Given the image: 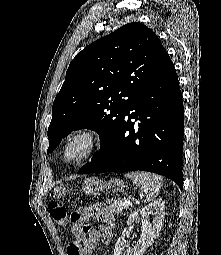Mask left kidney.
Masks as SVG:
<instances>
[{
	"label": "left kidney",
	"mask_w": 221,
	"mask_h": 255,
	"mask_svg": "<svg viewBox=\"0 0 221 255\" xmlns=\"http://www.w3.org/2000/svg\"><path fill=\"white\" fill-rule=\"evenodd\" d=\"M164 209V201L162 199H157L147 206L131 213L127 220V226H131L136 221H141L140 239L130 247L129 244H126L125 240L128 229L124 228L122 236L116 242L114 255H142L159 236L165 216ZM150 216H153L152 222H150Z\"/></svg>",
	"instance_id": "5707ae66"
}]
</instances>
